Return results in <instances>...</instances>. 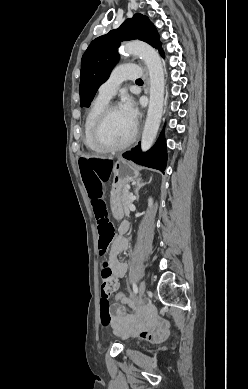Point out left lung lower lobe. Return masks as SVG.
<instances>
[{
    "label": "left lung lower lobe",
    "instance_id": "0a47b994",
    "mask_svg": "<svg viewBox=\"0 0 248 389\" xmlns=\"http://www.w3.org/2000/svg\"><path fill=\"white\" fill-rule=\"evenodd\" d=\"M162 57H164L163 49L159 51ZM123 157L132 160L133 162L160 170L164 173L167 164V151L166 141L163 132L160 134L154 147L146 153H142L140 150V143L138 146L123 154Z\"/></svg>",
    "mask_w": 248,
    "mask_h": 389
}]
</instances>
